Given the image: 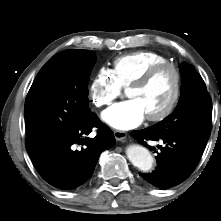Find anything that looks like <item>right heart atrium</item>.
I'll list each match as a JSON object with an SVG mask.
<instances>
[{
    "label": "right heart atrium",
    "mask_w": 221,
    "mask_h": 221,
    "mask_svg": "<svg viewBox=\"0 0 221 221\" xmlns=\"http://www.w3.org/2000/svg\"><path fill=\"white\" fill-rule=\"evenodd\" d=\"M118 85L109 70L101 68L89 85V96L98 108L111 105L121 93Z\"/></svg>",
    "instance_id": "right-heart-atrium-1"
}]
</instances>
